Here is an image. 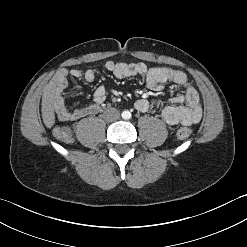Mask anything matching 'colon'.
<instances>
[{
	"label": "colon",
	"mask_w": 247,
	"mask_h": 247,
	"mask_svg": "<svg viewBox=\"0 0 247 247\" xmlns=\"http://www.w3.org/2000/svg\"><path fill=\"white\" fill-rule=\"evenodd\" d=\"M53 135L66 143H69L72 141V131L69 127L66 126H57L53 129ZM192 135V130L190 128L187 127H182L179 128L176 131V138L178 140H185L187 138H189Z\"/></svg>",
	"instance_id": "obj_1"
}]
</instances>
